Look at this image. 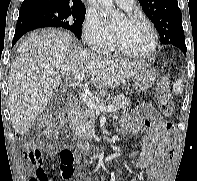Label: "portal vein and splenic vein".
I'll use <instances>...</instances> for the list:
<instances>
[{
  "instance_id": "1",
  "label": "portal vein and splenic vein",
  "mask_w": 197,
  "mask_h": 181,
  "mask_svg": "<svg viewBox=\"0 0 197 181\" xmlns=\"http://www.w3.org/2000/svg\"><path fill=\"white\" fill-rule=\"evenodd\" d=\"M49 74H55V72L50 71ZM73 79H74V84L76 85V82H80L85 79V74L82 73L75 74ZM80 97L84 101V103H86L87 107L95 113V115H99L101 112L114 113L117 111V108L113 106H107V107L99 106L94 102V100L89 98V96L85 93H80Z\"/></svg>"
}]
</instances>
